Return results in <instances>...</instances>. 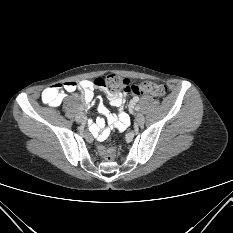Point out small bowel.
I'll list each match as a JSON object with an SVG mask.
<instances>
[{
  "label": "small bowel",
  "instance_id": "small-bowel-1",
  "mask_svg": "<svg viewBox=\"0 0 233 233\" xmlns=\"http://www.w3.org/2000/svg\"><path fill=\"white\" fill-rule=\"evenodd\" d=\"M81 80L79 82H64L60 84H54L43 90L41 100L44 104L51 107H59L65 96L66 92L72 93L77 89H80L83 94V101L86 108H89L93 104L94 90L99 88L102 95L108 98L110 104L116 108V114L111 113L108 108L100 102L98 104V112L100 117L97 118L96 123L90 127V132L93 136L99 139H105L112 129L118 131H124L130 124V118L124 110V96L119 92H111L108 88L109 85L102 79ZM134 99L130 102V109L134 106Z\"/></svg>",
  "mask_w": 233,
  "mask_h": 233
}]
</instances>
